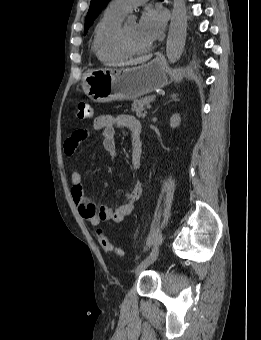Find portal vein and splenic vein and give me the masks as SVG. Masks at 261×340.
I'll use <instances>...</instances> for the list:
<instances>
[{
  "instance_id": "obj_1",
  "label": "portal vein and splenic vein",
  "mask_w": 261,
  "mask_h": 340,
  "mask_svg": "<svg viewBox=\"0 0 261 340\" xmlns=\"http://www.w3.org/2000/svg\"><path fill=\"white\" fill-rule=\"evenodd\" d=\"M146 108L149 110V109L152 108V105H151V104H148V105L146 106Z\"/></svg>"
}]
</instances>
